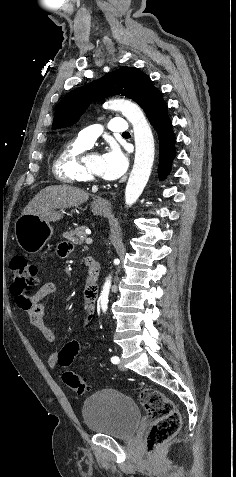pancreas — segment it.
Listing matches in <instances>:
<instances>
[{"label":"pancreas","instance_id":"1","mask_svg":"<svg viewBox=\"0 0 236 477\" xmlns=\"http://www.w3.org/2000/svg\"><path fill=\"white\" fill-rule=\"evenodd\" d=\"M86 226H81L75 230L64 233V238L76 245H81L86 238Z\"/></svg>","mask_w":236,"mask_h":477}]
</instances>
